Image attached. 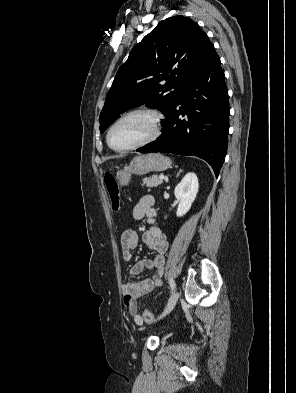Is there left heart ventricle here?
Masks as SVG:
<instances>
[{
	"label": "left heart ventricle",
	"instance_id": "b2bd125f",
	"mask_svg": "<svg viewBox=\"0 0 296 393\" xmlns=\"http://www.w3.org/2000/svg\"><path fill=\"white\" fill-rule=\"evenodd\" d=\"M153 132L152 119L146 115H133L122 120L112 131L111 143L125 148L148 138Z\"/></svg>",
	"mask_w": 296,
	"mask_h": 393
}]
</instances>
